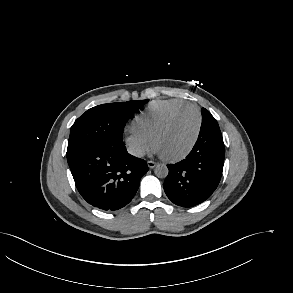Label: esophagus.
Segmentation results:
<instances>
[{
  "label": "esophagus",
  "mask_w": 293,
  "mask_h": 293,
  "mask_svg": "<svg viewBox=\"0 0 293 293\" xmlns=\"http://www.w3.org/2000/svg\"><path fill=\"white\" fill-rule=\"evenodd\" d=\"M147 165H148V167H149L150 169H152V168H154V167L157 165V163L154 162V161H148V162H147Z\"/></svg>",
  "instance_id": "34e87169"
}]
</instances>
